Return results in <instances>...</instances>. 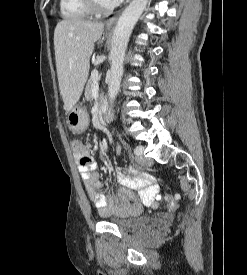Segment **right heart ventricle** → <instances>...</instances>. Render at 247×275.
<instances>
[{
  "label": "right heart ventricle",
  "instance_id": "1",
  "mask_svg": "<svg viewBox=\"0 0 247 275\" xmlns=\"http://www.w3.org/2000/svg\"><path fill=\"white\" fill-rule=\"evenodd\" d=\"M59 6L61 15L66 19H82L91 13L82 0H60Z\"/></svg>",
  "mask_w": 247,
  "mask_h": 275
}]
</instances>
